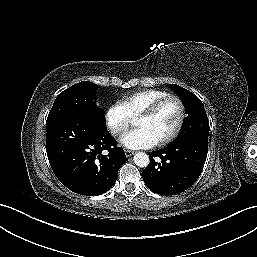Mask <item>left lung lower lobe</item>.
<instances>
[{
    "mask_svg": "<svg viewBox=\"0 0 257 257\" xmlns=\"http://www.w3.org/2000/svg\"><path fill=\"white\" fill-rule=\"evenodd\" d=\"M208 141L187 139L149 153L150 163L142 172L146 186L161 195L188 189L199 177L206 161ZM155 157L161 159L160 163Z\"/></svg>",
    "mask_w": 257,
    "mask_h": 257,
    "instance_id": "obj_1",
    "label": "left lung lower lobe"
}]
</instances>
